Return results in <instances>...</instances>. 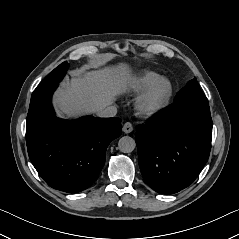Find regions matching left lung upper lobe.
Here are the masks:
<instances>
[{"label": "left lung upper lobe", "instance_id": "5c2ea615", "mask_svg": "<svg viewBox=\"0 0 239 239\" xmlns=\"http://www.w3.org/2000/svg\"><path fill=\"white\" fill-rule=\"evenodd\" d=\"M187 98H195L206 100V96L201 91L198 82L194 78L193 80L189 81L187 86L181 89L177 94V102L187 99Z\"/></svg>", "mask_w": 239, "mask_h": 239}]
</instances>
